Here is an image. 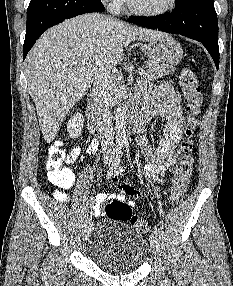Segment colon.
I'll return each instance as SVG.
<instances>
[{"label": "colon", "instance_id": "5ec220e1", "mask_svg": "<svg viewBox=\"0 0 233 286\" xmlns=\"http://www.w3.org/2000/svg\"><path fill=\"white\" fill-rule=\"evenodd\" d=\"M179 83L183 93L185 105V139L181 144L183 155L175 168L172 177L170 198L173 204H178L184 198L194 166L192 150L194 147L193 137L198 125V116L202 107L201 88L196 74L190 68L184 67L179 74ZM66 153L61 143L53 145L46 157L48 177L52 183L62 189L71 187L75 177L71 169L64 166ZM105 214L114 220L129 221L131 226L138 232L148 231L147 223L140 217L133 216L131 207L120 200L112 199L104 206Z\"/></svg>", "mask_w": 233, "mask_h": 286}]
</instances>
